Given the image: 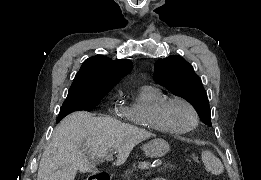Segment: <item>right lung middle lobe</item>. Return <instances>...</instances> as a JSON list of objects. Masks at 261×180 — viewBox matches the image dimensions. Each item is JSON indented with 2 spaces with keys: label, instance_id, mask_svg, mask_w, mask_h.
Listing matches in <instances>:
<instances>
[{
  "label": "right lung middle lobe",
  "instance_id": "dd1d6c3e",
  "mask_svg": "<svg viewBox=\"0 0 261 180\" xmlns=\"http://www.w3.org/2000/svg\"><path fill=\"white\" fill-rule=\"evenodd\" d=\"M106 94L107 93L69 91L68 96L60 109L57 123L72 112L82 110L91 111L98 105Z\"/></svg>",
  "mask_w": 261,
  "mask_h": 180
}]
</instances>
